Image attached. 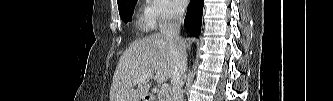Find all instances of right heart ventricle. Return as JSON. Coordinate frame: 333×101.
I'll use <instances>...</instances> for the list:
<instances>
[{"instance_id": "1", "label": "right heart ventricle", "mask_w": 333, "mask_h": 101, "mask_svg": "<svg viewBox=\"0 0 333 101\" xmlns=\"http://www.w3.org/2000/svg\"><path fill=\"white\" fill-rule=\"evenodd\" d=\"M138 27L142 30L151 29L146 14L139 19Z\"/></svg>"}]
</instances>
